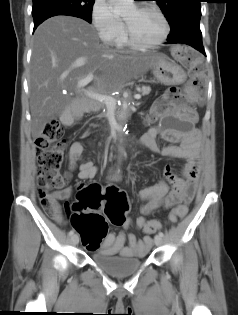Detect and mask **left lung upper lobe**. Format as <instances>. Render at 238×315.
Segmentation results:
<instances>
[{
	"instance_id": "left-lung-upper-lobe-1",
	"label": "left lung upper lobe",
	"mask_w": 238,
	"mask_h": 315,
	"mask_svg": "<svg viewBox=\"0 0 238 315\" xmlns=\"http://www.w3.org/2000/svg\"><path fill=\"white\" fill-rule=\"evenodd\" d=\"M170 24V35L191 22H200L201 0H155ZM169 35V36H170Z\"/></svg>"
}]
</instances>
